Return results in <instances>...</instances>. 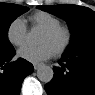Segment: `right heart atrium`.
I'll list each match as a JSON object with an SVG mask.
<instances>
[{
	"label": "right heart atrium",
	"mask_w": 95,
	"mask_h": 95,
	"mask_svg": "<svg viewBox=\"0 0 95 95\" xmlns=\"http://www.w3.org/2000/svg\"><path fill=\"white\" fill-rule=\"evenodd\" d=\"M7 38L11 44L20 47L27 41V28L22 18H15L7 27Z\"/></svg>",
	"instance_id": "obj_1"
}]
</instances>
